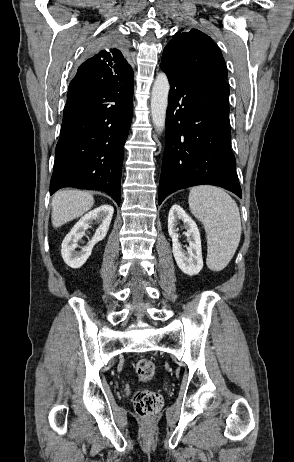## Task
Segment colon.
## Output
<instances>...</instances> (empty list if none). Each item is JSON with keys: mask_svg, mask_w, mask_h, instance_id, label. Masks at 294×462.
<instances>
[{"mask_svg": "<svg viewBox=\"0 0 294 462\" xmlns=\"http://www.w3.org/2000/svg\"><path fill=\"white\" fill-rule=\"evenodd\" d=\"M135 371L140 381L148 382L154 376L155 365L149 359H140L136 364ZM133 404L139 416L150 418L160 411L163 400L155 391L140 389L133 396Z\"/></svg>", "mask_w": 294, "mask_h": 462, "instance_id": "5ec220e1", "label": "colon"}]
</instances>
